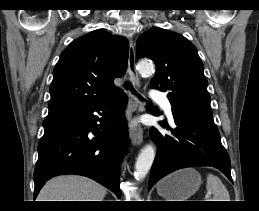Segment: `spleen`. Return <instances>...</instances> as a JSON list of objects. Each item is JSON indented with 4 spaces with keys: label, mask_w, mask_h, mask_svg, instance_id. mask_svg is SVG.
<instances>
[{
    "label": "spleen",
    "mask_w": 259,
    "mask_h": 211,
    "mask_svg": "<svg viewBox=\"0 0 259 211\" xmlns=\"http://www.w3.org/2000/svg\"><path fill=\"white\" fill-rule=\"evenodd\" d=\"M206 189L213 194V200L209 201H230V195L219 177L208 174Z\"/></svg>",
    "instance_id": "1"
}]
</instances>
